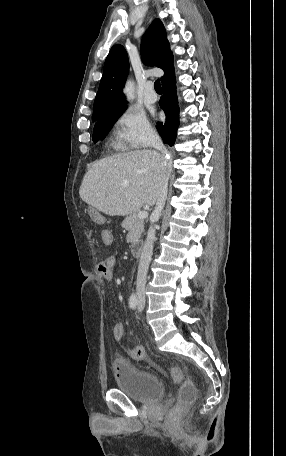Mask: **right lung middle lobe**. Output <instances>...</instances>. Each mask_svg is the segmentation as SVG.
Wrapping results in <instances>:
<instances>
[{
	"label": "right lung middle lobe",
	"mask_w": 286,
	"mask_h": 456,
	"mask_svg": "<svg viewBox=\"0 0 286 456\" xmlns=\"http://www.w3.org/2000/svg\"><path fill=\"white\" fill-rule=\"evenodd\" d=\"M124 110L125 107L113 109L93 121L95 123L92 136L94 142L105 138Z\"/></svg>",
	"instance_id": "dd1d6c3e"
}]
</instances>
